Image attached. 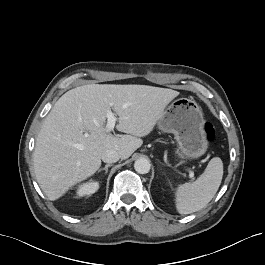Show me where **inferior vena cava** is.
Listing matches in <instances>:
<instances>
[{"mask_svg":"<svg viewBox=\"0 0 265 265\" xmlns=\"http://www.w3.org/2000/svg\"><path fill=\"white\" fill-rule=\"evenodd\" d=\"M120 159V155L115 150H106L102 154V161L105 163H115Z\"/></svg>","mask_w":265,"mask_h":265,"instance_id":"inferior-vena-cava-1","label":"inferior vena cava"}]
</instances>
